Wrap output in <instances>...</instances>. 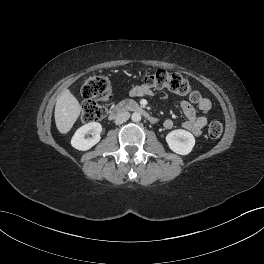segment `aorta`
Returning a JSON list of instances; mask_svg holds the SVG:
<instances>
[{
	"label": "aorta",
	"mask_w": 264,
	"mask_h": 264,
	"mask_svg": "<svg viewBox=\"0 0 264 264\" xmlns=\"http://www.w3.org/2000/svg\"><path fill=\"white\" fill-rule=\"evenodd\" d=\"M131 119L133 122H140L141 121V115L138 112H134L131 116Z\"/></svg>",
	"instance_id": "762f6f07"
}]
</instances>
